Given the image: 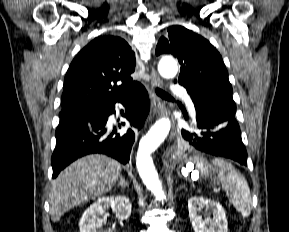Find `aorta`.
<instances>
[{"label": "aorta", "mask_w": 289, "mask_h": 232, "mask_svg": "<svg viewBox=\"0 0 289 232\" xmlns=\"http://www.w3.org/2000/svg\"><path fill=\"white\" fill-rule=\"evenodd\" d=\"M158 70L164 78H173L178 71L177 63L173 59H162L158 65ZM170 128L171 122L168 118H162L157 121L140 140L136 157L137 170L143 183L160 201L165 198V195L162 183L159 180L158 173L154 167L151 154L164 141Z\"/></svg>", "instance_id": "obj_1"}]
</instances>
